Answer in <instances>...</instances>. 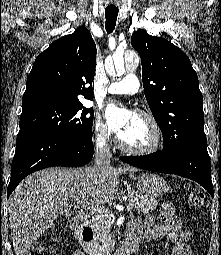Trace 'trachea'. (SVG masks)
<instances>
[{
  "label": "trachea",
  "instance_id": "1",
  "mask_svg": "<svg viewBox=\"0 0 221 255\" xmlns=\"http://www.w3.org/2000/svg\"><path fill=\"white\" fill-rule=\"evenodd\" d=\"M118 12L119 10L116 8L105 9V18H106L105 29L107 33H112L113 30L115 29Z\"/></svg>",
  "mask_w": 221,
  "mask_h": 255
}]
</instances>
